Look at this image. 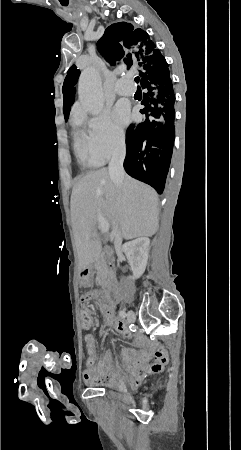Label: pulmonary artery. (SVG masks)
Returning a JSON list of instances; mask_svg holds the SVG:
<instances>
[{
	"instance_id": "e3ab8cb5",
	"label": "pulmonary artery",
	"mask_w": 241,
	"mask_h": 450,
	"mask_svg": "<svg viewBox=\"0 0 241 450\" xmlns=\"http://www.w3.org/2000/svg\"><path fill=\"white\" fill-rule=\"evenodd\" d=\"M134 85L133 78H118L117 84L115 85V90L117 92H130L131 87ZM122 95L121 93H118Z\"/></svg>"
}]
</instances>
